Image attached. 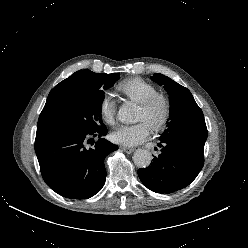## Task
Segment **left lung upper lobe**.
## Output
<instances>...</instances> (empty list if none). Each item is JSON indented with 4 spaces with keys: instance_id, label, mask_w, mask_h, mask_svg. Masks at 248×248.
Returning <instances> with one entry per match:
<instances>
[{
    "instance_id": "left-lung-upper-lobe-1",
    "label": "left lung upper lobe",
    "mask_w": 248,
    "mask_h": 248,
    "mask_svg": "<svg viewBox=\"0 0 248 248\" xmlns=\"http://www.w3.org/2000/svg\"><path fill=\"white\" fill-rule=\"evenodd\" d=\"M162 85L170 99V119L160 141L170 138H183L196 145L204 146L207 127L202 110L191 92L167 76L156 73L151 78Z\"/></svg>"
}]
</instances>
